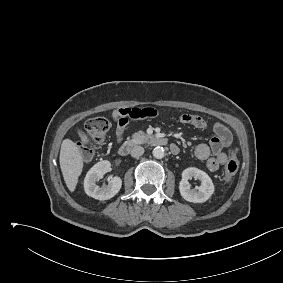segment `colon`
<instances>
[{"instance_id": "colon-1", "label": "colon", "mask_w": 283, "mask_h": 283, "mask_svg": "<svg viewBox=\"0 0 283 283\" xmlns=\"http://www.w3.org/2000/svg\"><path fill=\"white\" fill-rule=\"evenodd\" d=\"M110 129V123L106 118L93 117L86 121V135L79 143L81 153L85 158H90L99 146L105 141L106 135ZM239 169V161L237 158V150L229 151V158L224 167L223 179L228 182Z\"/></svg>"}]
</instances>
